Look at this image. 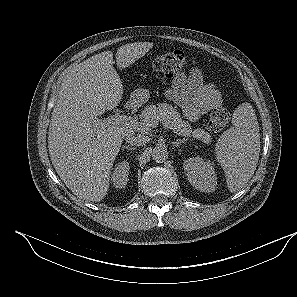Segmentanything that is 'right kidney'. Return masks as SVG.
I'll list each match as a JSON object with an SVG mask.
<instances>
[{"label":"right kidney","mask_w":297,"mask_h":297,"mask_svg":"<svg viewBox=\"0 0 297 297\" xmlns=\"http://www.w3.org/2000/svg\"><path fill=\"white\" fill-rule=\"evenodd\" d=\"M129 174V163L127 161L119 162L115 165L112 173V183L117 189H122L127 185Z\"/></svg>","instance_id":"ca27d5eb"}]
</instances>
